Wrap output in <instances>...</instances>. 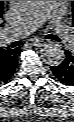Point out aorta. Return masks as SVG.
<instances>
[{"mask_svg":"<svg viewBox=\"0 0 74 122\" xmlns=\"http://www.w3.org/2000/svg\"><path fill=\"white\" fill-rule=\"evenodd\" d=\"M39 1H11L13 8L19 12H27L34 9ZM65 54L61 45L49 43L42 49V59L49 66H57L64 60Z\"/></svg>","mask_w":74,"mask_h":122,"instance_id":"762f6f07","label":"aorta"}]
</instances>
